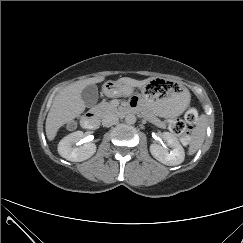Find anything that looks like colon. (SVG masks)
<instances>
[{
    "label": "colon",
    "instance_id": "obj_1",
    "mask_svg": "<svg viewBox=\"0 0 243 243\" xmlns=\"http://www.w3.org/2000/svg\"><path fill=\"white\" fill-rule=\"evenodd\" d=\"M198 117L195 109H189L186 111L183 119H173L170 121L171 132L180 137L184 144L190 143L194 136L193 125Z\"/></svg>",
    "mask_w": 243,
    "mask_h": 243
}]
</instances>
